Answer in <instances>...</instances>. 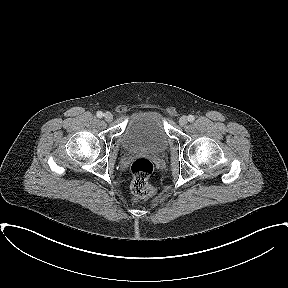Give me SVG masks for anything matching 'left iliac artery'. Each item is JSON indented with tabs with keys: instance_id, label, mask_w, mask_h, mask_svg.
I'll use <instances>...</instances> for the list:
<instances>
[{
	"instance_id": "44dca946",
	"label": "left iliac artery",
	"mask_w": 288,
	"mask_h": 288,
	"mask_svg": "<svg viewBox=\"0 0 288 288\" xmlns=\"http://www.w3.org/2000/svg\"><path fill=\"white\" fill-rule=\"evenodd\" d=\"M195 120V117L193 115L188 116V121L193 122Z\"/></svg>"
}]
</instances>
